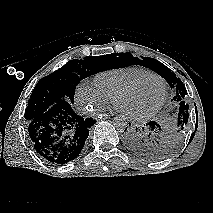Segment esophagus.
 Here are the masks:
<instances>
[{
    "label": "esophagus",
    "mask_w": 213,
    "mask_h": 213,
    "mask_svg": "<svg viewBox=\"0 0 213 213\" xmlns=\"http://www.w3.org/2000/svg\"><path fill=\"white\" fill-rule=\"evenodd\" d=\"M113 116H115L114 114H107V113H105V114H102V117L104 118V119H108V118H110V117H113Z\"/></svg>",
    "instance_id": "34e87169"
}]
</instances>
